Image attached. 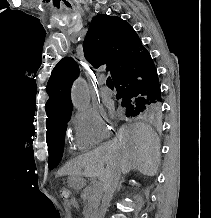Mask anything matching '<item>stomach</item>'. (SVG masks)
<instances>
[{
	"mask_svg": "<svg viewBox=\"0 0 211 218\" xmlns=\"http://www.w3.org/2000/svg\"><path fill=\"white\" fill-rule=\"evenodd\" d=\"M70 187L74 189H81L85 185V180L80 174H71L68 179Z\"/></svg>",
	"mask_w": 211,
	"mask_h": 218,
	"instance_id": "stomach-1",
	"label": "stomach"
}]
</instances>
